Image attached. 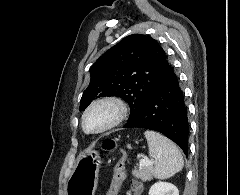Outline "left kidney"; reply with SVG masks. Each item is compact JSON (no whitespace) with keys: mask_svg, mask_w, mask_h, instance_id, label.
<instances>
[{"mask_svg":"<svg viewBox=\"0 0 240 195\" xmlns=\"http://www.w3.org/2000/svg\"><path fill=\"white\" fill-rule=\"evenodd\" d=\"M149 195H179L178 187L168 181H156L149 189Z\"/></svg>","mask_w":240,"mask_h":195,"instance_id":"5707ae66","label":"left kidney"}]
</instances>
